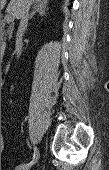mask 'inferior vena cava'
<instances>
[{
    "mask_svg": "<svg viewBox=\"0 0 109 170\" xmlns=\"http://www.w3.org/2000/svg\"><path fill=\"white\" fill-rule=\"evenodd\" d=\"M33 0H23L22 3V12L20 17V24L18 28V32L16 35V52L18 55L22 52V36L27 27L28 19H29V9L32 5Z\"/></svg>",
    "mask_w": 109,
    "mask_h": 170,
    "instance_id": "obj_1",
    "label": "inferior vena cava"
}]
</instances>
